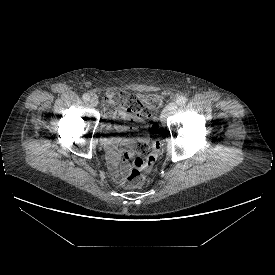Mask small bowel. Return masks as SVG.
Instances as JSON below:
<instances>
[{
  "label": "small bowel",
  "mask_w": 275,
  "mask_h": 275,
  "mask_svg": "<svg viewBox=\"0 0 275 275\" xmlns=\"http://www.w3.org/2000/svg\"><path fill=\"white\" fill-rule=\"evenodd\" d=\"M138 98H141V96L134 98L122 92H108L104 97L106 118L116 121H139L141 116L132 105L133 101ZM104 143L108 150L107 159L111 174L117 182H122L124 174L129 171V165L124 161L121 168H119L117 151L122 146L126 149L125 159H130L133 156V152L130 150L132 142L130 140H119L116 137H106Z\"/></svg>",
  "instance_id": "obj_1"
}]
</instances>
